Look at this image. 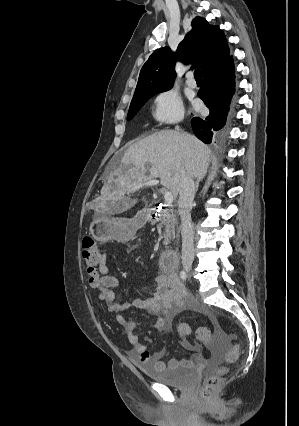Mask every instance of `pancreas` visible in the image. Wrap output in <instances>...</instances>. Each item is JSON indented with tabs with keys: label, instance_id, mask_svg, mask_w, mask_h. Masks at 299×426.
Segmentation results:
<instances>
[{
	"label": "pancreas",
	"instance_id": "obj_1",
	"mask_svg": "<svg viewBox=\"0 0 299 426\" xmlns=\"http://www.w3.org/2000/svg\"><path fill=\"white\" fill-rule=\"evenodd\" d=\"M153 222H158L164 228V244H169L170 240L175 238V225L177 223L175 211L171 208L163 209Z\"/></svg>",
	"mask_w": 299,
	"mask_h": 426
}]
</instances>
